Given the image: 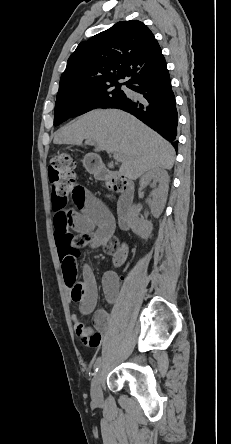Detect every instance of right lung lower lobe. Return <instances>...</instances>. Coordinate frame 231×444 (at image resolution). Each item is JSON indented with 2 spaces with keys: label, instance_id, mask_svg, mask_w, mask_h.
Returning <instances> with one entry per match:
<instances>
[{
  "label": "right lung lower lobe",
  "instance_id": "1",
  "mask_svg": "<svg viewBox=\"0 0 231 444\" xmlns=\"http://www.w3.org/2000/svg\"><path fill=\"white\" fill-rule=\"evenodd\" d=\"M128 87L141 94L139 100L127 96L111 108L127 111L166 138L177 150V109L170 75L163 70L141 77Z\"/></svg>",
  "mask_w": 231,
  "mask_h": 444
}]
</instances>
